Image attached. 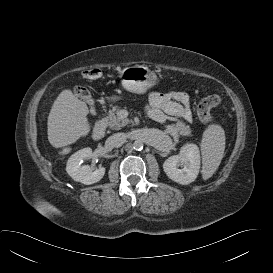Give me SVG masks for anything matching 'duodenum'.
Instances as JSON below:
<instances>
[{
    "instance_id": "410a0bca",
    "label": "duodenum",
    "mask_w": 273,
    "mask_h": 273,
    "mask_svg": "<svg viewBox=\"0 0 273 273\" xmlns=\"http://www.w3.org/2000/svg\"><path fill=\"white\" fill-rule=\"evenodd\" d=\"M106 128H107L106 120L104 118H100L93 129L92 134L93 139L96 141L102 139L106 132Z\"/></svg>"
}]
</instances>
